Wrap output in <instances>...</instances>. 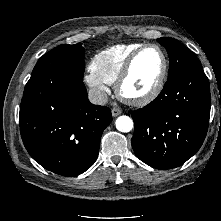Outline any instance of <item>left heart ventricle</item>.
Listing matches in <instances>:
<instances>
[{
    "instance_id": "obj_1",
    "label": "left heart ventricle",
    "mask_w": 221,
    "mask_h": 221,
    "mask_svg": "<svg viewBox=\"0 0 221 221\" xmlns=\"http://www.w3.org/2000/svg\"><path fill=\"white\" fill-rule=\"evenodd\" d=\"M162 68V57L156 48L143 51L134 63L129 78L123 85V92L138 97L149 92L155 85Z\"/></svg>"
}]
</instances>
